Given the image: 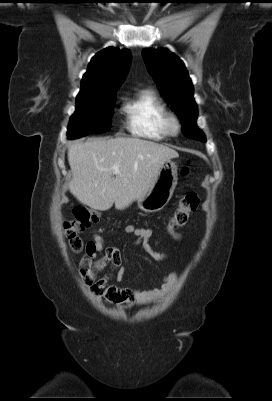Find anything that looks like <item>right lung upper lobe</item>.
I'll return each mask as SVG.
<instances>
[{
    "label": "right lung upper lobe",
    "instance_id": "right-lung-upper-lobe-1",
    "mask_svg": "<svg viewBox=\"0 0 272 401\" xmlns=\"http://www.w3.org/2000/svg\"><path fill=\"white\" fill-rule=\"evenodd\" d=\"M131 61L129 50L108 47L98 52L90 61L81 81L77 98L95 93L115 91L121 84Z\"/></svg>",
    "mask_w": 272,
    "mask_h": 401
}]
</instances>
